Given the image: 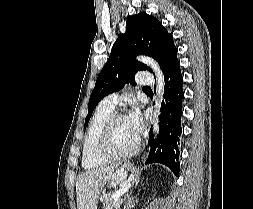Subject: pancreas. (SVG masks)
Returning <instances> with one entry per match:
<instances>
[{
	"label": "pancreas",
	"mask_w": 253,
	"mask_h": 209,
	"mask_svg": "<svg viewBox=\"0 0 253 209\" xmlns=\"http://www.w3.org/2000/svg\"><path fill=\"white\" fill-rule=\"evenodd\" d=\"M121 203L122 199L118 198L117 200H114L113 194H109L106 198H104L103 206L104 209H118Z\"/></svg>",
	"instance_id": "cf45deb5"
}]
</instances>
